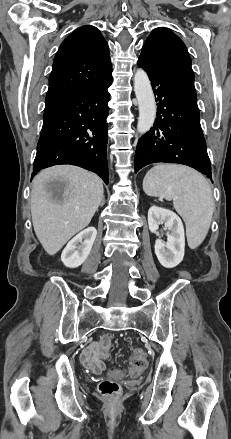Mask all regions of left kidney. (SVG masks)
<instances>
[{
	"label": "left kidney",
	"instance_id": "5707ae66",
	"mask_svg": "<svg viewBox=\"0 0 231 439\" xmlns=\"http://www.w3.org/2000/svg\"><path fill=\"white\" fill-rule=\"evenodd\" d=\"M164 223L167 230V242L155 241V254L160 264L166 268L177 266L184 257L185 234L179 216L171 210L152 206L148 211V225L152 233H157L159 225Z\"/></svg>",
	"mask_w": 231,
	"mask_h": 439
}]
</instances>
